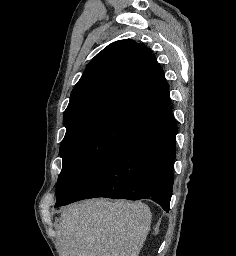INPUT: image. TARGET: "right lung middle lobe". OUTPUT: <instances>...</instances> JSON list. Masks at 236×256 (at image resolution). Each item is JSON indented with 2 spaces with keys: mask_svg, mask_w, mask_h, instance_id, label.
Returning <instances> with one entry per match:
<instances>
[{
  "mask_svg": "<svg viewBox=\"0 0 236 256\" xmlns=\"http://www.w3.org/2000/svg\"><path fill=\"white\" fill-rule=\"evenodd\" d=\"M147 124L131 114L113 112L66 128L60 146L63 166L56 202L66 200L105 158Z\"/></svg>",
  "mask_w": 236,
  "mask_h": 256,
  "instance_id": "obj_1",
  "label": "right lung middle lobe"
}]
</instances>
